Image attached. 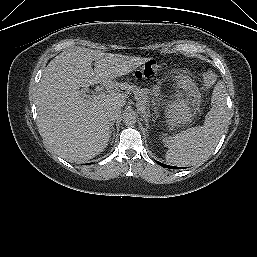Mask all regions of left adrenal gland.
Segmentation results:
<instances>
[{
  "instance_id": "1",
  "label": "left adrenal gland",
  "mask_w": 257,
  "mask_h": 257,
  "mask_svg": "<svg viewBox=\"0 0 257 257\" xmlns=\"http://www.w3.org/2000/svg\"><path fill=\"white\" fill-rule=\"evenodd\" d=\"M143 118H144V121H145V123H146V126L148 127V115H147V114H144ZM153 121H154V120H153Z\"/></svg>"
}]
</instances>
